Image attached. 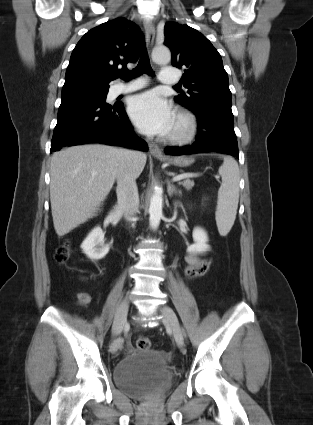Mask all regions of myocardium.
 Returning a JSON list of instances; mask_svg holds the SVG:
<instances>
[{
  "instance_id": "myocardium-1",
  "label": "myocardium",
  "mask_w": 313,
  "mask_h": 425,
  "mask_svg": "<svg viewBox=\"0 0 313 425\" xmlns=\"http://www.w3.org/2000/svg\"><path fill=\"white\" fill-rule=\"evenodd\" d=\"M176 127L168 135L172 143L184 144L194 139L197 134L198 123L196 117L185 110H180L175 115Z\"/></svg>"
}]
</instances>
